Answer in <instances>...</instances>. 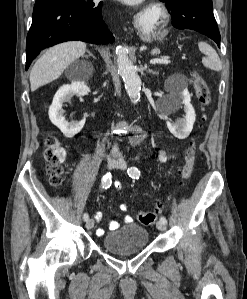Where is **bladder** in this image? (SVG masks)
<instances>
[{"mask_svg":"<svg viewBox=\"0 0 247 299\" xmlns=\"http://www.w3.org/2000/svg\"><path fill=\"white\" fill-rule=\"evenodd\" d=\"M149 244L148 230L138 224L130 223L118 228L102 239L105 251L116 255H128L144 250Z\"/></svg>","mask_w":247,"mask_h":299,"instance_id":"obj_1","label":"bladder"}]
</instances>
